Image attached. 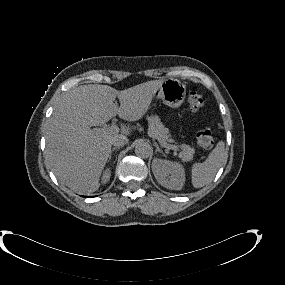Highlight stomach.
<instances>
[{"mask_svg":"<svg viewBox=\"0 0 285 285\" xmlns=\"http://www.w3.org/2000/svg\"><path fill=\"white\" fill-rule=\"evenodd\" d=\"M154 97L160 98L170 108H178L185 100L186 88L179 80L169 78L155 90Z\"/></svg>","mask_w":285,"mask_h":285,"instance_id":"stomach-1","label":"stomach"}]
</instances>
